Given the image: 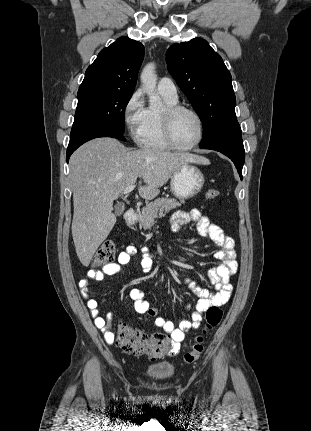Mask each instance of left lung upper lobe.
I'll return each mask as SVG.
<instances>
[{"label":"left lung upper lobe","instance_id":"obj_1","mask_svg":"<svg viewBox=\"0 0 311 431\" xmlns=\"http://www.w3.org/2000/svg\"><path fill=\"white\" fill-rule=\"evenodd\" d=\"M166 61L168 71L203 123L200 146L241 133L231 74L206 40L194 38L173 44L167 50Z\"/></svg>","mask_w":311,"mask_h":431}]
</instances>
